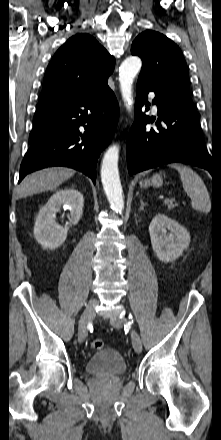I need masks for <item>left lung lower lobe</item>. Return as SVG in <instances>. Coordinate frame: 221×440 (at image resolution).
Listing matches in <instances>:
<instances>
[{"label":"left lung lower lobe","mask_w":221,"mask_h":440,"mask_svg":"<svg viewBox=\"0 0 221 440\" xmlns=\"http://www.w3.org/2000/svg\"><path fill=\"white\" fill-rule=\"evenodd\" d=\"M153 91V103L158 108V129L148 128L153 122L141 111ZM147 108L146 110H148ZM163 121L165 127H161ZM180 162L213 171V162L200 127V115L194 106L155 90L149 83L138 80L135 101V122L127 139V165L130 175L163 164Z\"/></svg>","instance_id":"1"}]
</instances>
